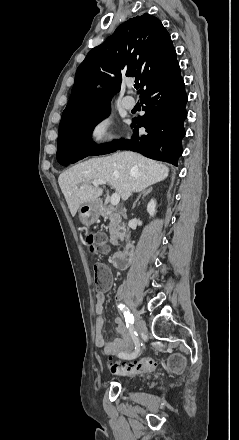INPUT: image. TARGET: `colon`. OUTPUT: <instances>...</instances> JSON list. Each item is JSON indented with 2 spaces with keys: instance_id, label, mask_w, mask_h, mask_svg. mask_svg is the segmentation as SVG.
<instances>
[{
  "instance_id": "colon-1",
  "label": "colon",
  "mask_w": 239,
  "mask_h": 440,
  "mask_svg": "<svg viewBox=\"0 0 239 440\" xmlns=\"http://www.w3.org/2000/svg\"><path fill=\"white\" fill-rule=\"evenodd\" d=\"M87 242L92 253L106 250L105 237L102 233L89 234L87 237ZM93 271L96 287L104 288L109 281L106 267L101 263H96L93 267ZM169 364L171 369L174 371H179L182 368V360L177 356L172 357ZM109 366L110 370L115 374L132 375L152 371L155 367V364L151 359L143 358L127 363H111Z\"/></svg>"
}]
</instances>
